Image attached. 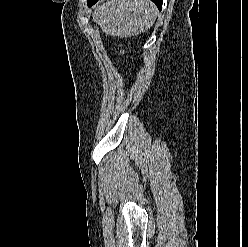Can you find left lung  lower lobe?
I'll return each mask as SVG.
<instances>
[{
	"label": "left lung lower lobe",
	"instance_id": "left-lung-lower-lobe-1",
	"mask_svg": "<svg viewBox=\"0 0 248 247\" xmlns=\"http://www.w3.org/2000/svg\"><path fill=\"white\" fill-rule=\"evenodd\" d=\"M97 1L98 0H88L87 5L90 7V6L94 5ZM151 1H153L156 4V6L159 8V10H161L163 0H151Z\"/></svg>",
	"mask_w": 248,
	"mask_h": 247
}]
</instances>
